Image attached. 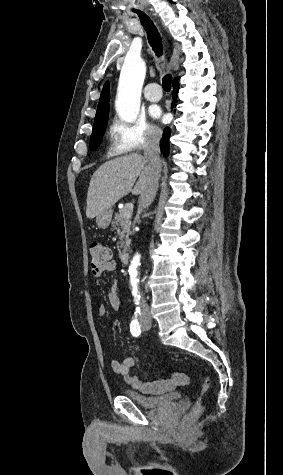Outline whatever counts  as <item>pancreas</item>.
I'll list each match as a JSON object with an SVG mask.
<instances>
[{
	"instance_id": "pancreas-1",
	"label": "pancreas",
	"mask_w": 283,
	"mask_h": 475,
	"mask_svg": "<svg viewBox=\"0 0 283 475\" xmlns=\"http://www.w3.org/2000/svg\"><path fill=\"white\" fill-rule=\"evenodd\" d=\"M131 216V210H128L127 206H124V208L119 210L118 214H115V218L112 222L114 230H116L121 239V241H119L120 245H118L119 253H126L131 243Z\"/></svg>"
}]
</instances>
